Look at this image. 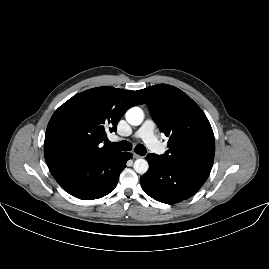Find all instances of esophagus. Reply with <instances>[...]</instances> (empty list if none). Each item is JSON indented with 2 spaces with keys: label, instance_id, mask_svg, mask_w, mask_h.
Here are the masks:
<instances>
[{
  "label": "esophagus",
  "instance_id": "1",
  "mask_svg": "<svg viewBox=\"0 0 269 269\" xmlns=\"http://www.w3.org/2000/svg\"><path fill=\"white\" fill-rule=\"evenodd\" d=\"M132 156H133V158H135V159L141 158V156L138 155L137 153H132Z\"/></svg>",
  "mask_w": 269,
  "mask_h": 269
}]
</instances>
